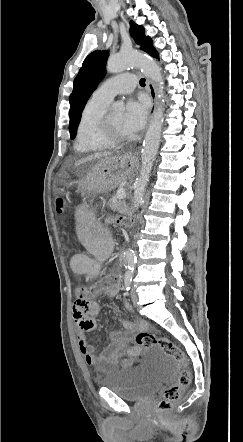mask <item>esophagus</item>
Segmentation results:
<instances>
[{
    "mask_svg": "<svg viewBox=\"0 0 243 442\" xmlns=\"http://www.w3.org/2000/svg\"><path fill=\"white\" fill-rule=\"evenodd\" d=\"M147 88H148L149 95H150L151 101H152L151 110H150V118H152L155 111H156V107H157V94H156L155 86L150 79H147ZM137 157H138V153H134L131 155L132 159H136Z\"/></svg>",
    "mask_w": 243,
    "mask_h": 442,
    "instance_id": "esophagus-1",
    "label": "esophagus"
}]
</instances>
